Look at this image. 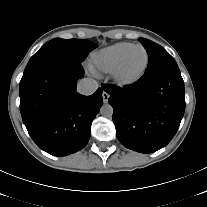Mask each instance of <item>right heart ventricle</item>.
Instances as JSON below:
<instances>
[{
    "mask_svg": "<svg viewBox=\"0 0 207 207\" xmlns=\"http://www.w3.org/2000/svg\"><path fill=\"white\" fill-rule=\"evenodd\" d=\"M132 45L129 42H120L96 51L90 58L92 71L98 75L112 72L122 55Z\"/></svg>",
    "mask_w": 207,
    "mask_h": 207,
    "instance_id": "e07e8e85",
    "label": "right heart ventricle"
}]
</instances>
